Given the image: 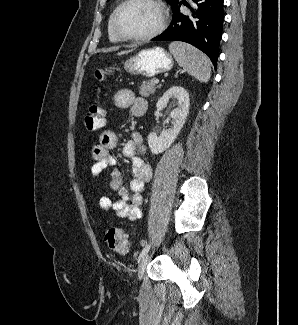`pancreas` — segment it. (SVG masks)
Wrapping results in <instances>:
<instances>
[{"label": "pancreas", "mask_w": 298, "mask_h": 325, "mask_svg": "<svg viewBox=\"0 0 298 325\" xmlns=\"http://www.w3.org/2000/svg\"><path fill=\"white\" fill-rule=\"evenodd\" d=\"M156 88H160V84H156L154 80H143L141 86H139V94L141 96H150L156 92Z\"/></svg>", "instance_id": "cf45deb5"}]
</instances>
